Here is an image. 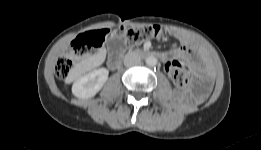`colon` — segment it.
I'll list each match as a JSON object with an SVG mask.
<instances>
[{"label":"colon","mask_w":261,"mask_h":150,"mask_svg":"<svg viewBox=\"0 0 261 150\" xmlns=\"http://www.w3.org/2000/svg\"><path fill=\"white\" fill-rule=\"evenodd\" d=\"M109 32L108 29H97L78 36L58 59L55 66L56 76L60 79H66L78 62L99 52ZM161 33V28L155 25L140 27L124 25L113 31V34L120 36L130 46L137 45L146 39L156 38ZM167 71L176 85L184 86L186 84L188 80L187 73L180 62L169 61Z\"/></svg>","instance_id":"colon-1"}]
</instances>
